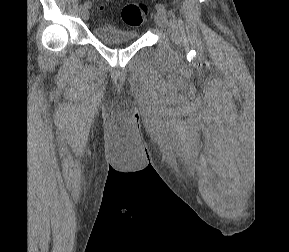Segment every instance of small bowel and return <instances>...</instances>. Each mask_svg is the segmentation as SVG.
I'll return each instance as SVG.
<instances>
[{"label":"small bowel","instance_id":"c3829d8e","mask_svg":"<svg viewBox=\"0 0 289 252\" xmlns=\"http://www.w3.org/2000/svg\"><path fill=\"white\" fill-rule=\"evenodd\" d=\"M104 2H110L111 0H103Z\"/></svg>","mask_w":289,"mask_h":252}]
</instances>
